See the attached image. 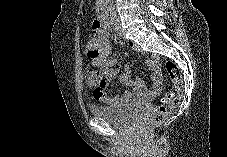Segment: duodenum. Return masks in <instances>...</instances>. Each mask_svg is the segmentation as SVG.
I'll return each instance as SVG.
<instances>
[{
	"mask_svg": "<svg viewBox=\"0 0 227 157\" xmlns=\"http://www.w3.org/2000/svg\"><path fill=\"white\" fill-rule=\"evenodd\" d=\"M108 20L105 14L98 17L95 25H91V30H106Z\"/></svg>",
	"mask_w": 227,
	"mask_h": 157,
	"instance_id": "1",
	"label": "duodenum"
}]
</instances>
